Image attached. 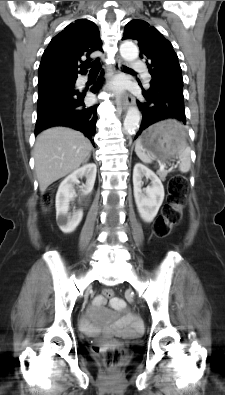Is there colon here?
<instances>
[{"label":"colon","mask_w":225,"mask_h":395,"mask_svg":"<svg viewBox=\"0 0 225 395\" xmlns=\"http://www.w3.org/2000/svg\"><path fill=\"white\" fill-rule=\"evenodd\" d=\"M187 181L183 176H173L168 181V197L167 203L163 207L162 214L157 218L153 224V235L157 238H164L170 235L172 229L181 222L182 203L186 197ZM52 192H47L44 195L43 205L48 208L51 204ZM103 296L110 297L113 294L111 287H103ZM101 353L102 358L106 365H117L123 355L124 349L118 343H111L103 348H97Z\"/></svg>","instance_id":"obj_1"}]
</instances>
